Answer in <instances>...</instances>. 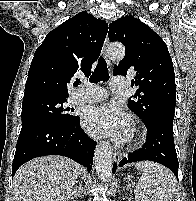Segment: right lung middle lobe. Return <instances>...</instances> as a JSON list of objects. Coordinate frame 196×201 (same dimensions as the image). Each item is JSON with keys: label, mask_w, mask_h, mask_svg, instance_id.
I'll return each instance as SVG.
<instances>
[{"label": "right lung middle lobe", "mask_w": 196, "mask_h": 201, "mask_svg": "<svg viewBox=\"0 0 196 201\" xmlns=\"http://www.w3.org/2000/svg\"><path fill=\"white\" fill-rule=\"evenodd\" d=\"M67 96L35 95L24 98L22 103V122L32 119H45L68 124L77 119L73 108L63 104Z\"/></svg>", "instance_id": "1"}]
</instances>
